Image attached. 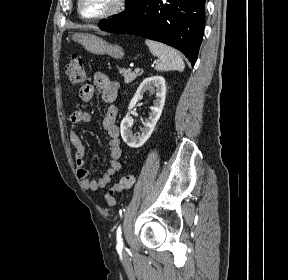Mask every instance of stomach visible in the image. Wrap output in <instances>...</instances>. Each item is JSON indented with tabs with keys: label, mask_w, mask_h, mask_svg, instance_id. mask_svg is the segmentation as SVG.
<instances>
[{
	"label": "stomach",
	"mask_w": 288,
	"mask_h": 280,
	"mask_svg": "<svg viewBox=\"0 0 288 280\" xmlns=\"http://www.w3.org/2000/svg\"><path fill=\"white\" fill-rule=\"evenodd\" d=\"M72 39L81 43L88 52L93 54H108L115 59H119L124 56V51L121 46L117 44H110L94 34L75 33L72 36Z\"/></svg>",
	"instance_id": "1"
}]
</instances>
